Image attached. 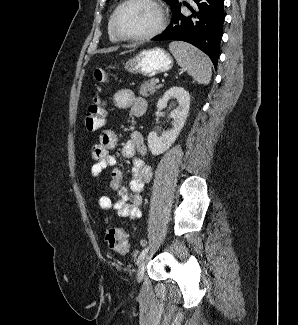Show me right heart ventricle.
Masks as SVG:
<instances>
[{
  "label": "right heart ventricle",
  "instance_id": "right-heart-ventricle-1",
  "mask_svg": "<svg viewBox=\"0 0 298 325\" xmlns=\"http://www.w3.org/2000/svg\"><path fill=\"white\" fill-rule=\"evenodd\" d=\"M114 13V12H113ZM113 13L111 14L109 20H108V25H107V32H108V38L109 40L114 43V44H119L120 42L117 40V38L113 35L112 33V30H111V18H112V15Z\"/></svg>",
  "mask_w": 298,
  "mask_h": 325
}]
</instances>
